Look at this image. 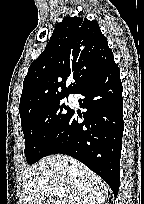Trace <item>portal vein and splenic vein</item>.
<instances>
[{
	"mask_svg": "<svg viewBox=\"0 0 144 204\" xmlns=\"http://www.w3.org/2000/svg\"><path fill=\"white\" fill-rule=\"evenodd\" d=\"M51 194L54 196H61L62 192L59 189H51Z\"/></svg>",
	"mask_w": 144,
	"mask_h": 204,
	"instance_id": "1",
	"label": "portal vein and splenic vein"
}]
</instances>
